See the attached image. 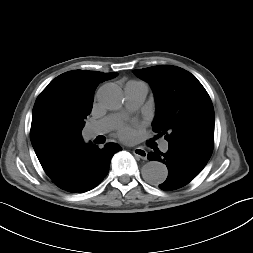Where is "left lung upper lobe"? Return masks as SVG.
<instances>
[{
  "mask_svg": "<svg viewBox=\"0 0 253 253\" xmlns=\"http://www.w3.org/2000/svg\"><path fill=\"white\" fill-rule=\"evenodd\" d=\"M154 91L153 130L168 142H186L213 150L214 108L211 99L190 72L175 66L135 70Z\"/></svg>",
  "mask_w": 253,
  "mask_h": 253,
  "instance_id": "1",
  "label": "left lung upper lobe"
}]
</instances>
